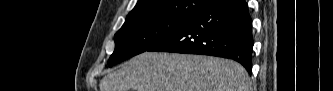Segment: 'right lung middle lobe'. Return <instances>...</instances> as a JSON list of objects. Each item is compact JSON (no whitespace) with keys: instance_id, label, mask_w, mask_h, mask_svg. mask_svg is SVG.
Wrapping results in <instances>:
<instances>
[{"instance_id":"obj_1","label":"right lung middle lobe","mask_w":333,"mask_h":91,"mask_svg":"<svg viewBox=\"0 0 333 91\" xmlns=\"http://www.w3.org/2000/svg\"><path fill=\"white\" fill-rule=\"evenodd\" d=\"M217 0H205L202 7H209ZM193 17L154 15L125 21L115 34V50L108 66L148 51L186 25Z\"/></svg>"}]
</instances>
